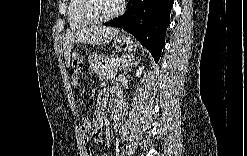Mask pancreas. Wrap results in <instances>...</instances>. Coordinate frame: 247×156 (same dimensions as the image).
I'll return each mask as SVG.
<instances>
[{
    "mask_svg": "<svg viewBox=\"0 0 247 156\" xmlns=\"http://www.w3.org/2000/svg\"><path fill=\"white\" fill-rule=\"evenodd\" d=\"M117 58L118 55L115 54L106 57L102 60L98 69L95 70V73L101 81L108 80L117 73V67L120 65L116 62ZM122 58H125V55H123Z\"/></svg>",
    "mask_w": 247,
    "mask_h": 156,
    "instance_id": "obj_1",
    "label": "pancreas"
}]
</instances>
